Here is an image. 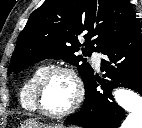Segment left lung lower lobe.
I'll return each instance as SVG.
<instances>
[{
    "mask_svg": "<svg viewBox=\"0 0 142 128\" xmlns=\"http://www.w3.org/2000/svg\"><path fill=\"white\" fill-rule=\"evenodd\" d=\"M101 53V70L106 79L93 76L85 86V101L79 113L65 121L83 128H119L124 110L114 101L111 90L126 87L142 96V33L136 26L129 34L111 42ZM101 84L102 90L96 88Z\"/></svg>",
    "mask_w": 142,
    "mask_h": 128,
    "instance_id": "0a47b994",
    "label": "left lung lower lobe"
}]
</instances>
